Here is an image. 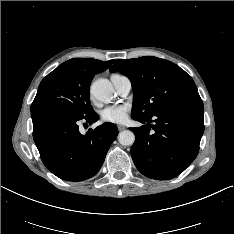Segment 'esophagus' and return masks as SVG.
<instances>
[{
	"label": "esophagus",
	"mask_w": 234,
	"mask_h": 234,
	"mask_svg": "<svg viewBox=\"0 0 234 234\" xmlns=\"http://www.w3.org/2000/svg\"><path fill=\"white\" fill-rule=\"evenodd\" d=\"M117 128H118L119 131H122V130L126 129V127L123 126V125H118Z\"/></svg>",
	"instance_id": "1"
}]
</instances>
